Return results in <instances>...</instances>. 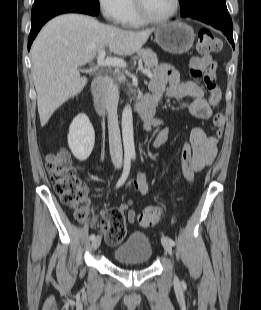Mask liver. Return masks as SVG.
<instances>
[{
	"label": "liver",
	"mask_w": 261,
	"mask_h": 310,
	"mask_svg": "<svg viewBox=\"0 0 261 310\" xmlns=\"http://www.w3.org/2000/svg\"><path fill=\"white\" fill-rule=\"evenodd\" d=\"M153 29L126 31L82 14H63L50 20L31 48L32 79L37 92L40 123L87 84L78 67L91 62L104 47L125 57L141 49Z\"/></svg>",
	"instance_id": "obj_1"
}]
</instances>
